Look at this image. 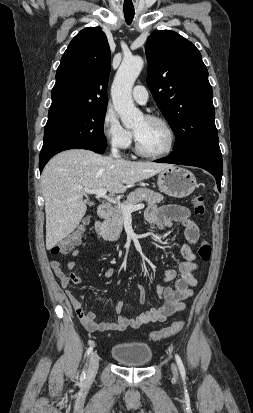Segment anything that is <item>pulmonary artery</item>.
Segmentation results:
<instances>
[{
  "mask_svg": "<svg viewBox=\"0 0 253 413\" xmlns=\"http://www.w3.org/2000/svg\"><path fill=\"white\" fill-rule=\"evenodd\" d=\"M133 99L139 104H146L148 101V92L146 88L142 85H137L134 87L132 92Z\"/></svg>",
  "mask_w": 253,
  "mask_h": 413,
  "instance_id": "pulmonary-artery-1",
  "label": "pulmonary artery"
}]
</instances>
